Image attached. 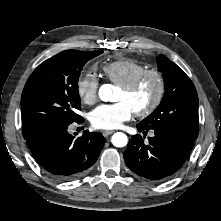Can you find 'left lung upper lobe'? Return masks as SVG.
Instances as JSON below:
<instances>
[{"label":"left lung upper lobe","mask_w":221,"mask_h":221,"mask_svg":"<svg viewBox=\"0 0 221 221\" xmlns=\"http://www.w3.org/2000/svg\"><path fill=\"white\" fill-rule=\"evenodd\" d=\"M164 73L165 94L160 105L139 124L144 128L174 131L195 141L199 134L198 96L186 73L166 56L157 58Z\"/></svg>","instance_id":"5c2ea615"}]
</instances>
